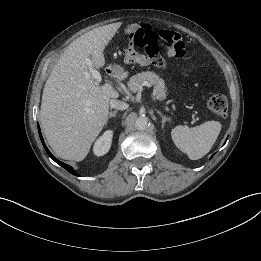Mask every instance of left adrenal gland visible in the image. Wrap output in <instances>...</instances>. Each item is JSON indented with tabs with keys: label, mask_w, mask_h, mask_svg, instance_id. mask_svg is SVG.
Listing matches in <instances>:
<instances>
[{
	"label": "left adrenal gland",
	"mask_w": 261,
	"mask_h": 261,
	"mask_svg": "<svg viewBox=\"0 0 261 261\" xmlns=\"http://www.w3.org/2000/svg\"><path fill=\"white\" fill-rule=\"evenodd\" d=\"M157 113L160 115V117L162 118V129L164 128V125L166 122H171L170 118L163 115L159 110H157Z\"/></svg>",
	"instance_id": "left-adrenal-gland-1"
}]
</instances>
